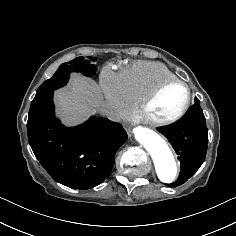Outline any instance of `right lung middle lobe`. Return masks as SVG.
<instances>
[{
  "label": "right lung middle lobe",
  "mask_w": 236,
  "mask_h": 236,
  "mask_svg": "<svg viewBox=\"0 0 236 236\" xmlns=\"http://www.w3.org/2000/svg\"><path fill=\"white\" fill-rule=\"evenodd\" d=\"M77 57L69 62L63 63L59 66L55 74L46 80L37 90L35 99L43 97L55 89L60 88L66 84L71 72H82L88 77H92L96 73V66L91 64L90 61H96L94 57Z\"/></svg>",
  "instance_id": "1"
}]
</instances>
